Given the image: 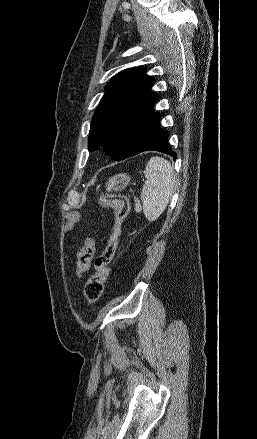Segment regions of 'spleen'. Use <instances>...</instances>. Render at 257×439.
I'll use <instances>...</instances> for the list:
<instances>
[{"label": "spleen", "instance_id": "1", "mask_svg": "<svg viewBox=\"0 0 257 439\" xmlns=\"http://www.w3.org/2000/svg\"><path fill=\"white\" fill-rule=\"evenodd\" d=\"M146 182L142 188L141 201L147 220L156 221L169 203L175 183V172L170 162L152 157L145 170Z\"/></svg>", "mask_w": 257, "mask_h": 439}]
</instances>
